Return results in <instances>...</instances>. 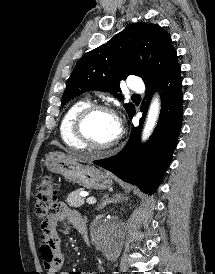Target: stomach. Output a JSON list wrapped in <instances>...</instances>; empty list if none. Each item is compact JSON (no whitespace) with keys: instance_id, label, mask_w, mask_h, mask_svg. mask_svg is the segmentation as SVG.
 <instances>
[{"instance_id":"0dacf381","label":"stomach","mask_w":215,"mask_h":274,"mask_svg":"<svg viewBox=\"0 0 215 274\" xmlns=\"http://www.w3.org/2000/svg\"><path fill=\"white\" fill-rule=\"evenodd\" d=\"M45 166L48 171L60 174L88 189L103 190L112 184L111 178L105 172L94 166L82 165L62 152L50 153Z\"/></svg>"}]
</instances>
